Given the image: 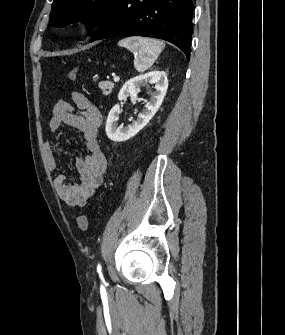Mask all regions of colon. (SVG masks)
Here are the masks:
<instances>
[{
    "label": "colon",
    "instance_id": "5ec220e1",
    "mask_svg": "<svg viewBox=\"0 0 285 335\" xmlns=\"http://www.w3.org/2000/svg\"><path fill=\"white\" fill-rule=\"evenodd\" d=\"M68 77L70 80L75 81L77 78V69L75 67L68 71ZM77 226L81 231H86L89 227V221L85 214H80L77 219Z\"/></svg>",
    "mask_w": 285,
    "mask_h": 335
}]
</instances>
